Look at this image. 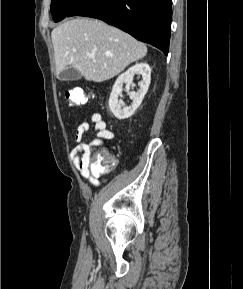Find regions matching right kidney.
Masks as SVG:
<instances>
[{
  "label": "right kidney",
  "instance_id": "ca27d5eb",
  "mask_svg": "<svg viewBox=\"0 0 243 289\" xmlns=\"http://www.w3.org/2000/svg\"><path fill=\"white\" fill-rule=\"evenodd\" d=\"M138 73L142 75V80L138 84L140 89L138 92H130L129 90L133 77ZM150 81L151 68L145 62L136 63L117 78L109 98V109L117 119H127L134 114L135 110L140 106L145 94L148 91ZM123 83L127 84V92L132 100V104L125 107H122L118 103V96L121 94Z\"/></svg>",
  "mask_w": 243,
  "mask_h": 289
}]
</instances>
